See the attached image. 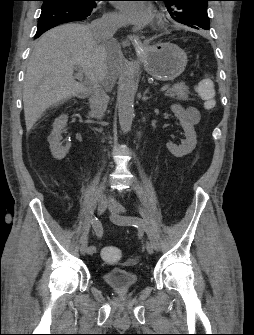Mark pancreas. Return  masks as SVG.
Listing matches in <instances>:
<instances>
[{
	"label": "pancreas",
	"mask_w": 254,
	"mask_h": 335,
	"mask_svg": "<svg viewBox=\"0 0 254 335\" xmlns=\"http://www.w3.org/2000/svg\"><path fill=\"white\" fill-rule=\"evenodd\" d=\"M189 87L185 83L180 82L176 83L173 86L169 87L167 90L166 96L171 98L186 101L188 100Z\"/></svg>",
	"instance_id": "1"
}]
</instances>
